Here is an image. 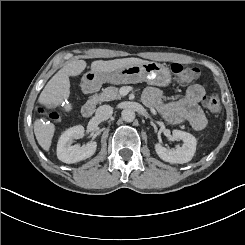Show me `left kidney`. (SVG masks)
<instances>
[{
  "label": "left kidney",
  "instance_id": "left-kidney-1",
  "mask_svg": "<svg viewBox=\"0 0 245 245\" xmlns=\"http://www.w3.org/2000/svg\"><path fill=\"white\" fill-rule=\"evenodd\" d=\"M172 137L183 142V146H178L176 149H167L162 145H156V152L158 156L170 163H187L192 160L197 146L196 138L182 130H172Z\"/></svg>",
  "mask_w": 245,
  "mask_h": 245
}]
</instances>
